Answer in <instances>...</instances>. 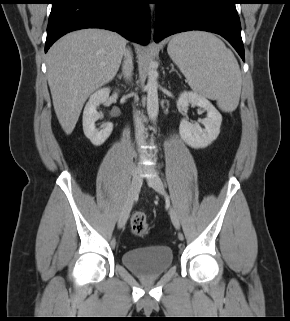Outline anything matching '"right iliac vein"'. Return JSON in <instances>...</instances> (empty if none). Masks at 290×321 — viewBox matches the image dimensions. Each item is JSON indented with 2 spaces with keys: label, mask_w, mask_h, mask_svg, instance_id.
Wrapping results in <instances>:
<instances>
[{
  "label": "right iliac vein",
  "mask_w": 290,
  "mask_h": 321,
  "mask_svg": "<svg viewBox=\"0 0 290 321\" xmlns=\"http://www.w3.org/2000/svg\"><path fill=\"white\" fill-rule=\"evenodd\" d=\"M140 168L135 167L133 170V177L130 185V189L124 204V207L120 213L119 219H118V227L122 228L129 217V213L131 211V208L133 206L134 201L136 200L139 190L141 188L142 180L140 177Z\"/></svg>",
  "instance_id": "right-iliac-vein-1"
}]
</instances>
